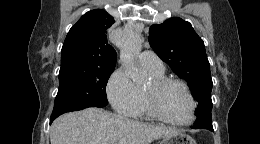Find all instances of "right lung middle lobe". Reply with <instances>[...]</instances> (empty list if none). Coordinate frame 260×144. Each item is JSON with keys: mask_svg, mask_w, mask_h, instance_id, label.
I'll use <instances>...</instances> for the list:
<instances>
[{"mask_svg": "<svg viewBox=\"0 0 260 144\" xmlns=\"http://www.w3.org/2000/svg\"><path fill=\"white\" fill-rule=\"evenodd\" d=\"M113 70L114 68L60 70L59 90L51 118L88 107L106 106L108 101L105 89Z\"/></svg>", "mask_w": 260, "mask_h": 144, "instance_id": "obj_1", "label": "right lung middle lobe"}]
</instances>
